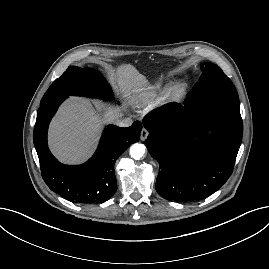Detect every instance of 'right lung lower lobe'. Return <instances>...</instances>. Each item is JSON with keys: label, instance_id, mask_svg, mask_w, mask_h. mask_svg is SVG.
Returning <instances> with one entry per match:
<instances>
[{"label": "right lung lower lobe", "instance_id": "right-lung-lower-lobe-1", "mask_svg": "<svg viewBox=\"0 0 269 269\" xmlns=\"http://www.w3.org/2000/svg\"><path fill=\"white\" fill-rule=\"evenodd\" d=\"M62 96L41 104L37 112L33 141L39 157L42 177L52 191L76 203H98L108 200L117 190L114 165L130 144L139 141L142 124L128 128L109 125L101 137L93 157L78 166L63 165L47 146L48 125Z\"/></svg>", "mask_w": 269, "mask_h": 269}]
</instances>
